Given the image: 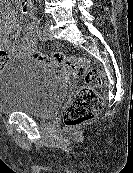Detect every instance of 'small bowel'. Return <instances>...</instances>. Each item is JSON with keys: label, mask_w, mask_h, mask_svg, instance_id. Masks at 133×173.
<instances>
[{"label": "small bowel", "mask_w": 133, "mask_h": 173, "mask_svg": "<svg viewBox=\"0 0 133 173\" xmlns=\"http://www.w3.org/2000/svg\"><path fill=\"white\" fill-rule=\"evenodd\" d=\"M22 14H29L22 4L20 6ZM36 23L30 22L22 31L16 20V16L8 15L0 23V51L5 56L33 57L36 52Z\"/></svg>", "instance_id": "c3829d8e"}]
</instances>
